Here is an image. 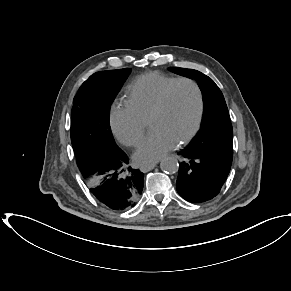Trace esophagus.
<instances>
[{
	"label": "esophagus",
	"mask_w": 291,
	"mask_h": 291,
	"mask_svg": "<svg viewBox=\"0 0 291 291\" xmlns=\"http://www.w3.org/2000/svg\"><path fill=\"white\" fill-rule=\"evenodd\" d=\"M158 163H159V161H157L155 163H150V164H147V165H143V166H141L140 170L141 171H149V170H152Z\"/></svg>",
	"instance_id": "34e87169"
}]
</instances>
